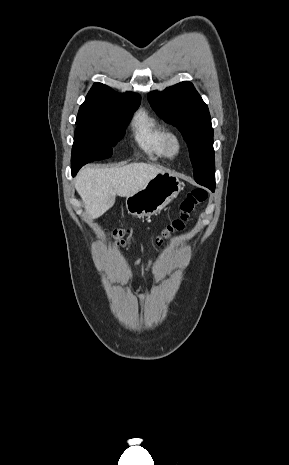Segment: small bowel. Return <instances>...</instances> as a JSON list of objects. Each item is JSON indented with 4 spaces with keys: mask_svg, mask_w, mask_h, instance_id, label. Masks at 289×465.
<instances>
[{
    "mask_svg": "<svg viewBox=\"0 0 289 465\" xmlns=\"http://www.w3.org/2000/svg\"><path fill=\"white\" fill-rule=\"evenodd\" d=\"M141 263V260H137L134 265H139ZM152 269V261H150L145 268V270L140 274V277L145 276L148 272H150Z\"/></svg>",
    "mask_w": 289,
    "mask_h": 465,
    "instance_id": "small-bowel-1",
    "label": "small bowel"
}]
</instances>
